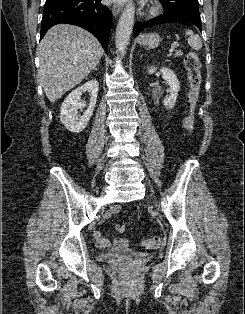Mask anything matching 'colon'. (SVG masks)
I'll use <instances>...</instances> for the list:
<instances>
[{
    "mask_svg": "<svg viewBox=\"0 0 245 314\" xmlns=\"http://www.w3.org/2000/svg\"><path fill=\"white\" fill-rule=\"evenodd\" d=\"M185 68L189 76V93H188V104L189 112L184 119V127L187 131H192L194 123V111L198 101L199 91L201 87L202 77H201V63L197 53L190 52L186 55L184 60ZM142 244L150 249L159 248L161 245V239L159 237H150L142 241ZM120 270L125 272L127 267L125 265L120 266Z\"/></svg>",
    "mask_w": 245,
    "mask_h": 314,
    "instance_id": "colon-1",
    "label": "colon"
}]
</instances>
